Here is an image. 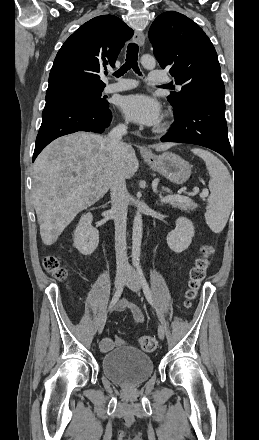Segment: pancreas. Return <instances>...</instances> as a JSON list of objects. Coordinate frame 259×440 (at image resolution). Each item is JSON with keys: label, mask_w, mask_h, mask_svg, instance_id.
<instances>
[{"label": "pancreas", "mask_w": 259, "mask_h": 440, "mask_svg": "<svg viewBox=\"0 0 259 440\" xmlns=\"http://www.w3.org/2000/svg\"><path fill=\"white\" fill-rule=\"evenodd\" d=\"M167 192H170L169 189H164ZM173 207H177L181 210H193L197 207L196 203L193 201L183 202V201H171L169 202Z\"/></svg>", "instance_id": "obj_1"}]
</instances>
